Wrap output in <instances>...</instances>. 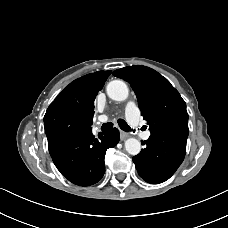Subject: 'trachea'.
I'll return each instance as SVG.
<instances>
[{"label":"trachea","instance_id":"1","mask_svg":"<svg viewBox=\"0 0 228 228\" xmlns=\"http://www.w3.org/2000/svg\"><path fill=\"white\" fill-rule=\"evenodd\" d=\"M118 125L119 127L124 130L125 132H129L132 129L130 128V126L123 120V119H118ZM113 127V123L112 122H107V123H103L101 126V130L106 132L111 130Z\"/></svg>","mask_w":228,"mask_h":228}]
</instances>
